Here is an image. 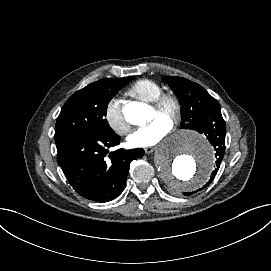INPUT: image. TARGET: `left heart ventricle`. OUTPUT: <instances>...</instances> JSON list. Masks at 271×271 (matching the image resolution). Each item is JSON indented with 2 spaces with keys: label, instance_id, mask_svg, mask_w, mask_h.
Wrapping results in <instances>:
<instances>
[{
  "label": "left heart ventricle",
  "instance_id": "1",
  "mask_svg": "<svg viewBox=\"0 0 271 271\" xmlns=\"http://www.w3.org/2000/svg\"><path fill=\"white\" fill-rule=\"evenodd\" d=\"M172 110H173V108H172V107H169V109H168L169 113L172 112ZM158 118L163 119V120L169 122V119H168L167 116H163V115L158 114V113H157L156 111H154L153 108H152L151 114H150V118H149V122H152L153 120L158 119Z\"/></svg>",
  "mask_w": 271,
  "mask_h": 271
}]
</instances>
